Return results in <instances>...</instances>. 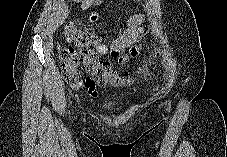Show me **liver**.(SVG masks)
I'll use <instances>...</instances> for the list:
<instances>
[{"label": "liver", "mask_w": 227, "mask_h": 157, "mask_svg": "<svg viewBox=\"0 0 227 157\" xmlns=\"http://www.w3.org/2000/svg\"><path fill=\"white\" fill-rule=\"evenodd\" d=\"M92 2H93L92 0H87V1H86V4H87V5H90Z\"/></svg>", "instance_id": "1"}]
</instances>
